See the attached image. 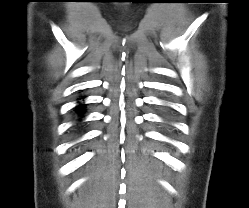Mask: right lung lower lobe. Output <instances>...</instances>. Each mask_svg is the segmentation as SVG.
<instances>
[{"mask_svg":"<svg viewBox=\"0 0 249 208\" xmlns=\"http://www.w3.org/2000/svg\"><path fill=\"white\" fill-rule=\"evenodd\" d=\"M84 108H85V104H79V105L76 107V113H78V115H79L80 117H83V113L85 112ZM79 120H81V119H79Z\"/></svg>","mask_w":249,"mask_h":208,"instance_id":"obj_1","label":"right lung lower lobe"}]
</instances>
